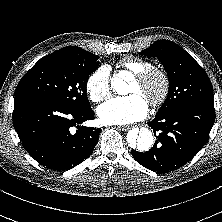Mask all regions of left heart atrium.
<instances>
[{"mask_svg":"<svg viewBox=\"0 0 222 222\" xmlns=\"http://www.w3.org/2000/svg\"><path fill=\"white\" fill-rule=\"evenodd\" d=\"M148 110L145 98L134 93L109 100L97 109V113L103 123L121 125L142 120Z\"/></svg>","mask_w":222,"mask_h":222,"instance_id":"obj_1","label":"left heart atrium"}]
</instances>
